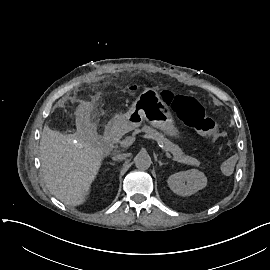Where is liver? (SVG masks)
<instances>
[{"instance_id": "6515ba94", "label": "liver", "mask_w": 270, "mask_h": 270, "mask_svg": "<svg viewBox=\"0 0 270 270\" xmlns=\"http://www.w3.org/2000/svg\"><path fill=\"white\" fill-rule=\"evenodd\" d=\"M74 141L75 135L45 125L40 138L41 165L48 190L66 205L81 206L90 198L105 155L91 143Z\"/></svg>"}]
</instances>
